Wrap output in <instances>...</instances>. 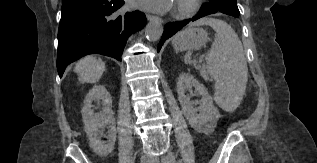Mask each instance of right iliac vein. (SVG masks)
Instances as JSON below:
<instances>
[{
    "instance_id": "1",
    "label": "right iliac vein",
    "mask_w": 317,
    "mask_h": 163,
    "mask_svg": "<svg viewBox=\"0 0 317 163\" xmlns=\"http://www.w3.org/2000/svg\"><path fill=\"white\" fill-rule=\"evenodd\" d=\"M141 163H150V161L147 160V159H145V158H143V159L141 160Z\"/></svg>"
}]
</instances>
